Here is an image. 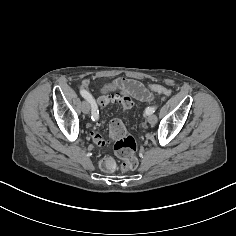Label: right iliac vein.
<instances>
[{"instance_id":"right-iliac-vein-1","label":"right iliac vein","mask_w":236,"mask_h":236,"mask_svg":"<svg viewBox=\"0 0 236 236\" xmlns=\"http://www.w3.org/2000/svg\"><path fill=\"white\" fill-rule=\"evenodd\" d=\"M80 108L84 114H88L90 111V105L87 101H83L80 105Z\"/></svg>"}]
</instances>
